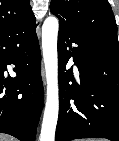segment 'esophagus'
Returning a JSON list of instances; mask_svg holds the SVG:
<instances>
[{
    "instance_id": "esophagus-1",
    "label": "esophagus",
    "mask_w": 119,
    "mask_h": 141,
    "mask_svg": "<svg viewBox=\"0 0 119 141\" xmlns=\"http://www.w3.org/2000/svg\"><path fill=\"white\" fill-rule=\"evenodd\" d=\"M42 78H43V80H45V72H44V69L42 68Z\"/></svg>"
}]
</instances>
